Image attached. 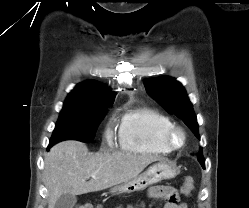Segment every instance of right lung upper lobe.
Here are the masks:
<instances>
[{"instance_id": "obj_1", "label": "right lung upper lobe", "mask_w": 249, "mask_h": 208, "mask_svg": "<svg viewBox=\"0 0 249 208\" xmlns=\"http://www.w3.org/2000/svg\"><path fill=\"white\" fill-rule=\"evenodd\" d=\"M115 99V93L104 85L88 80L79 83L67 96L64 107L82 106L107 109Z\"/></svg>"}]
</instances>
